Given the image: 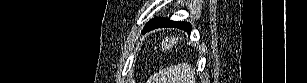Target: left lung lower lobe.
Returning a JSON list of instances; mask_svg holds the SVG:
<instances>
[{
	"label": "left lung lower lobe",
	"mask_w": 307,
	"mask_h": 83,
	"mask_svg": "<svg viewBox=\"0 0 307 83\" xmlns=\"http://www.w3.org/2000/svg\"><path fill=\"white\" fill-rule=\"evenodd\" d=\"M159 27H177V28L185 30L189 33L191 32L190 23L179 22V21H171L170 19H167V18L166 19L163 18L162 20H160L156 23L146 25L143 32L150 31L152 29L159 28Z\"/></svg>",
	"instance_id": "left-lung-lower-lobe-1"
}]
</instances>
